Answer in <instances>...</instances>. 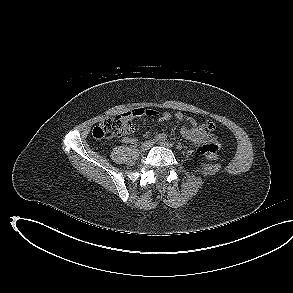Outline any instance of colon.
<instances>
[{"label":"colon","instance_id":"5ec220e1","mask_svg":"<svg viewBox=\"0 0 293 293\" xmlns=\"http://www.w3.org/2000/svg\"><path fill=\"white\" fill-rule=\"evenodd\" d=\"M134 130L135 127L130 119L118 115L107 118L98 126L94 127L92 135L96 140H102L106 138L130 135L134 132ZM199 152L206 154L207 158L212 161L218 159V155L214 151L203 148Z\"/></svg>","mask_w":293,"mask_h":293}]
</instances>
